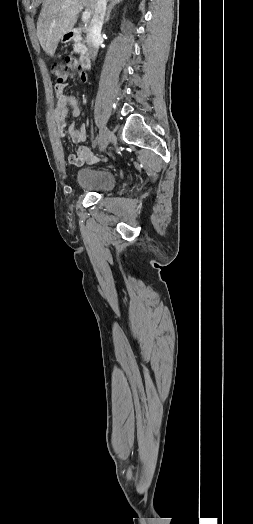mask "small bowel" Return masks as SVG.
Listing matches in <instances>:
<instances>
[{"label": "small bowel", "instance_id": "1", "mask_svg": "<svg viewBox=\"0 0 253 524\" xmlns=\"http://www.w3.org/2000/svg\"><path fill=\"white\" fill-rule=\"evenodd\" d=\"M65 89V88H64ZM63 90H56L57 103L53 109V118L57 126L59 137L65 140L71 138L73 143H81L86 140V128L84 125L77 127L74 123L66 125V118L69 114L73 117L80 115V106L75 96L67 95ZM106 160L105 158L103 159ZM68 161L74 166L84 164H94L98 158L92 153L89 147L81 146L77 153L68 156Z\"/></svg>", "mask_w": 253, "mask_h": 524}]
</instances>
